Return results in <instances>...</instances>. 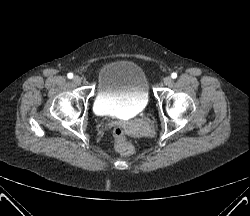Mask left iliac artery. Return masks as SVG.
Returning a JSON list of instances; mask_svg holds the SVG:
<instances>
[{"instance_id":"left-iliac-artery-1","label":"left iliac artery","mask_w":250,"mask_h":216,"mask_svg":"<svg viewBox=\"0 0 250 216\" xmlns=\"http://www.w3.org/2000/svg\"><path fill=\"white\" fill-rule=\"evenodd\" d=\"M171 77H172L173 79H175V78L177 77V73H175V72L172 73V74H171Z\"/></svg>"}]
</instances>
